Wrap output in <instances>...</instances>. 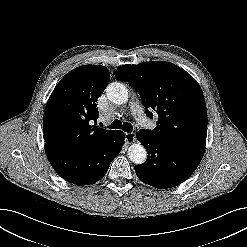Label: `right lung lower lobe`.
<instances>
[{
	"label": "right lung lower lobe",
	"mask_w": 247,
	"mask_h": 247,
	"mask_svg": "<svg viewBox=\"0 0 247 247\" xmlns=\"http://www.w3.org/2000/svg\"><path fill=\"white\" fill-rule=\"evenodd\" d=\"M123 144V132L115 131L87 152L72 153L50 145L45 146V152L60 177L76 185H88L104 177Z\"/></svg>",
	"instance_id": "1"
}]
</instances>
